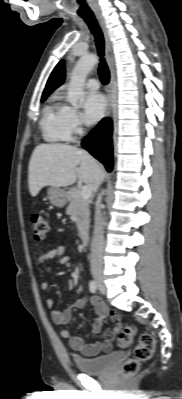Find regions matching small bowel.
Masks as SVG:
<instances>
[{"label": "small bowel", "instance_id": "small-bowel-1", "mask_svg": "<svg viewBox=\"0 0 182 399\" xmlns=\"http://www.w3.org/2000/svg\"><path fill=\"white\" fill-rule=\"evenodd\" d=\"M50 260H56L60 264H68L72 261V257L65 254V248L63 246H58L42 252L37 258V266L39 268H42L46 264V262ZM40 287L45 290L49 287V284L47 281L43 280L40 284ZM87 300L88 298L86 296H83L79 298L73 305L67 307L63 311L53 310L51 312L52 321L57 325H66L71 320L73 313L76 310L82 309L85 306ZM91 301L94 304L96 313L98 315V319L93 324V333H98L101 330L102 321L105 318H109L110 321H112L113 323L120 322V316L118 313L109 312L107 308L96 298H92ZM46 305L47 307L51 308L54 305L53 299L47 298ZM117 334V328L107 330L104 334L103 342H96L89 345L86 344L80 336L73 334L68 329L63 328L61 330V336L68 340L70 347L85 356H95L102 350L110 351L112 349L113 341L115 340Z\"/></svg>", "mask_w": 182, "mask_h": 399}]
</instances>
